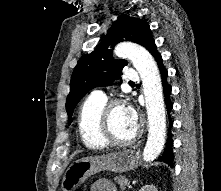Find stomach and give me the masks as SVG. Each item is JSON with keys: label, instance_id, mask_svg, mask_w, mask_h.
I'll return each instance as SVG.
<instances>
[{"label": "stomach", "instance_id": "1", "mask_svg": "<svg viewBox=\"0 0 221 191\" xmlns=\"http://www.w3.org/2000/svg\"><path fill=\"white\" fill-rule=\"evenodd\" d=\"M139 157L134 150H123L102 156L81 158L73 162L64 174L62 191H74L90 176L101 171L123 173L135 169Z\"/></svg>", "mask_w": 221, "mask_h": 191}]
</instances>
